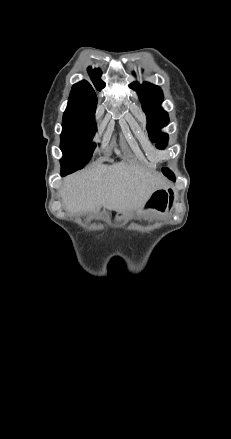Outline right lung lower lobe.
Masks as SVG:
<instances>
[{
  "instance_id": "1",
  "label": "right lung lower lobe",
  "mask_w": 231,
  "mask_h": 439,
  "mask_svg": "<svg viewBox=\"0 0 231 439\" xmlns=\"http://www.w3.org/2000/svg\"><path fill=\"white\" fill-rule=\"evenodd\" d=\"M69 173H72V171H71V170H62V171H61V175H62V176H65V175H67V174H69Z\"/></svg>"
}]
</instances>
